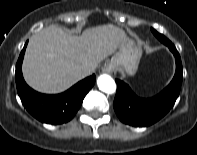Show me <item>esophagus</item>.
Masks as SVG:
<instances>
[{"label": "esophagus", "mask_w": 197, "mask_h": 155, "mask_svg": "<svg viewBox=\"0 0 197 155\" xmlns=\"http://www.w3.org/2000/svg\"><path fill=\"white\" fill-rule=\"evenodd\" d=\"M102 71L111 75L116 74V68L112 62L105 64Z\"/></svg>", "instance_id": "34e87169"}]
</instances>
